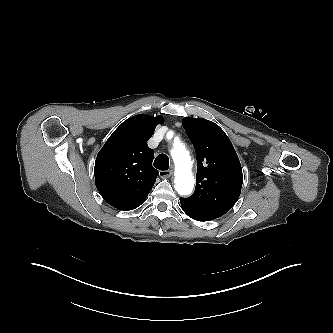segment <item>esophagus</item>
I'll list each match as a JSON object with an SVG mask.
<instances>
[{
  "label": "esophagus",
  "mask_w": 333,
  "mask_h": 333,
  "mask_svg": "<svg viewBox=\"0 0 333 333\" xmlns=\"http://www.w3.org/2000/svg\"><path fill=\"white\" fill-rule=\"evenodd\" d=\"M173 174L172 170L160 171L159 176L161 178H169Z\"/></svg>",
  "instance_id": "34e87169"
}]
</instances>
